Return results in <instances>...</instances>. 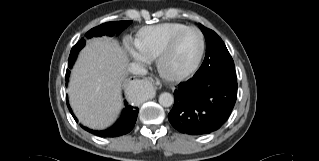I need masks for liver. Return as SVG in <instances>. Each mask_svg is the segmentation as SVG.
<instances>
[{
	"instance_id": "liver-1",
	"label": "liver",
	"mask_w": 319,
	"mask_h": 161,
	"mask_svg": "<svg viewBox=\"0 0 319 161\" xmlns=\"http://www.w3.org/2000/svg\"><path fill=\"white\" fill-rule=\"evenodd\" d=\"M128 57L111 38H93L79 54L72 70L68 94L79 121L93 129H104L122 108L121 84Z\"/></svg>"
}]
</instances>
